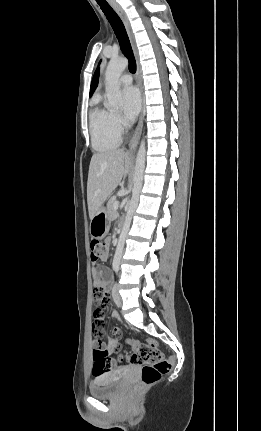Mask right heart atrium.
Returning a JSON list of instances; mask_svg holds the SVG:
<instances>
[{"instance_id":"obj_1","label":"right heart atrium","mask_w":261,"mask_h":431,"mask_svg":"<svg viewBox=\"0 0 261 431\" xmlns=\"http://www.w3.org/2000/svg\"><path fill=\"white\" fill-rule=\"evenodd\" d=\"M112 122H113L114 127L117 130L121 131L123 129L124 122H123L122 118L118 114H116V113L112 114Z\"/></svg>"}]
</instances>
